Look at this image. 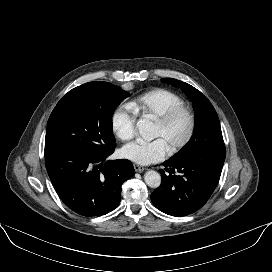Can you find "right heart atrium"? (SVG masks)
Listing matches in <instances>:
<instances>
[{"label": "right heart atrium", "mask_w": 272, "mask_h": 272, "mask_svg": "<svg viewBox=\"0 0 272 272\" xmlns=\"http://www.w3.org/2000/svg\"><path fill=\"white\" fill-rule=\"evenodd\" d=\"M136 116L129 105H119L111 116L114 134L122 141L131 139L135 132Z\"/></svg>", "instance_id": "d8ad5b80"}]
</instances>
